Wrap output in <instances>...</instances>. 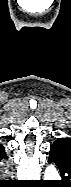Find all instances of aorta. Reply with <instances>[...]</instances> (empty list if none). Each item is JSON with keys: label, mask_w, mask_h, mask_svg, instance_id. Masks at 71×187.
I'll list each match as a JSON object with an SVG mask.
<instances>
[{"label": "aorta", "mask_w": 71, "mask_h": 187, "mask_svg": "<svg viewBox=\"0 0 71 187\" xmlns=\"http://www.w3.org/2000/svg\"><path fill=\"white\" fill-rule=\"evenodd\" d=\"M44 180H60L59 172L54 165H49L45 169Z\"/></svg>", "instance_id": "obj_1"}]
</instances>
